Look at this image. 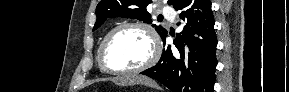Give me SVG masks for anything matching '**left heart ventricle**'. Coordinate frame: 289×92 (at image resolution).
<instances>
[{
  "label": "left heart ventricle",
  "mask_w": 289,
  "mask_h": 92,
  "mask_svg": "<svg viewBox=\"0 0 289 92\" xmlns=\"http://www.w3.org/2000/svg\"><path fill=\"white\" fill-rule=\"evenodd\" d=\"M152 53V44L139 28L121 30L110 42L106 62L114 69H131L142 65Z\"/></svg>",
  "instance_id": "obj_1"
}]
</instances>
